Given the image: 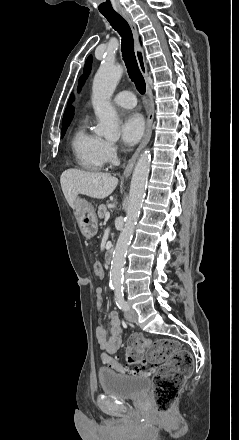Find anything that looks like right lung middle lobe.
<instances>
[{"instance_id": "dd1d6c3e", "label": "right lung middle lobe", "mask_w": 239, "mask_h": 440, "mask_svg": "<svg viewBox=\"0 0 239 440\" xmlns=\"http://www.w3.org/2000/svg\"><path fill=\"white\" fill-rule=\"evenodd\" d=\"M68 125L62 127V132H61V136L63 137L65 135L66 129H67Z\"/></svg>"}]
</instances>
